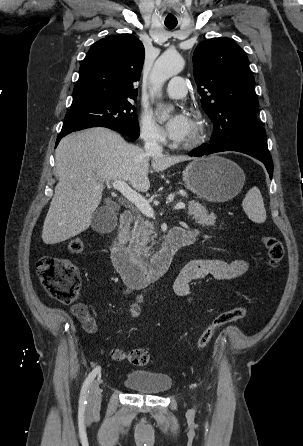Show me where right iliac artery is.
Segmentation results:
<instances>
[{
    "label": "right iliac artery",
    "instance_id": "82829eb1",
    "mask_svg": "<svg viewBox=\"0 0 303 446\" xmlns=\"http://www.w3.org/2000/svg\"><path fill=\"white\" fill-rule=\"evenodd\" d=\"M100 372V367L97 366L96 368H94L92 370V372L88 375V377L86 378L85 382L83 383L82 389H81V393H80V403L81 404H86V399L89 393V387L91 382L94 380V378L96 377V375Z\"/></svg>",
    "mask_w": 303,
    "mask_h": 446
}]
</instances>
